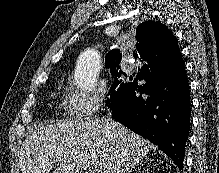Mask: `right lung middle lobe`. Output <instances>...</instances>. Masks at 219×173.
I'll list each match as a JSON object with an SVG mask.
<instances>
[{
    "label": "right lung middle lobe",
    "instance_id": "obj_1",
    "mask_svg": "<svg viewBox=\"0 0 219 173\" xmlns=\"http://www.w3.org/2000/svg\"><path fill=\"white\" fill-rule=\"evenodd\" d=\"M111 74L114 77V81L110 87L108 94H107L108 102L113 101L126 88V86L129 83L125 79H123V75L126 76V74L122 70L112 69Z\"/></svg>",
    "mask_w": 219,
    "mask_h": 173
}]
</instances>
